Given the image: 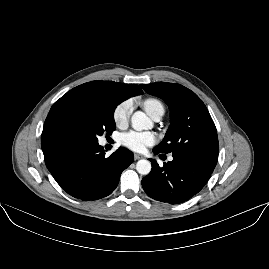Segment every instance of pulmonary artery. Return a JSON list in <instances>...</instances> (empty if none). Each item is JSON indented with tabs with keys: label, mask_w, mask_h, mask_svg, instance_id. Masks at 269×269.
Instances as JSON below:
<instances>
[{
	"label": "pulmonary artery",
	"mask_w": 269,
	"mask_h": 269,
	"mask_svg": "<svg viewBox=\"0 0 269 269\" xmlns=\"http://www.w3.org/2000/svg\"><path fill=\"white\" fill-rule=\"evenodd\" d=\"M164 115V108L162 106L158 107L152 114L151 117L155 120V121H159L161 120V118ZM169 161L173 160V156H169L168 158Z\"/></svg>",
	"instance_id": "pulmonary-artery-1"
}]
</instances>
